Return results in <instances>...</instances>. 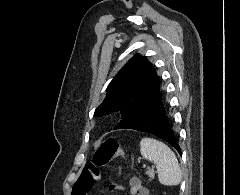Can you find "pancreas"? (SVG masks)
Here are the masks:
<instances>
[{
	"label": "pancreas",
	"instance_id": "pancreas-1",
	"mask_svg": "<svg viewBox=\"0 0 240 195\" xmlns=\"http://www.w3.org/2000/svg\"><path fill=\"white\" fill-rule=\"evenodd\" d=\"M146 173H148V175L150 177V181H151V179H154V177H155L154 169H147Z\"/></svg>",
	"mask_w": 240,
	"mask_h": 195
}]
</instances>
